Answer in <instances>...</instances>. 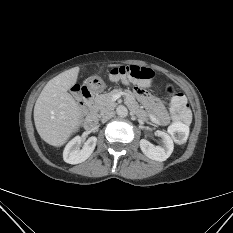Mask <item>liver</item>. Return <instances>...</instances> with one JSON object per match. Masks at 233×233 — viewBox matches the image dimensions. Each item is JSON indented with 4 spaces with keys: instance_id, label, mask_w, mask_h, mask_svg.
Returning <instances> with one entry per match:
<instances>
[{
    "instance_id": "liver-1",
    "label": "liver",
    "mask_w": 233,
    "mask_h": 233,
    "mask_svg": "<svg viewBox=\"0 0 233 233\" xmlns=\"http://www.w3.org/2000/svg\"><path fill=\"white\" fill-rule=\"evenodd\" d=\"M79 70V67H74L51 79L36 100L35 127L40 137L49 145H64L82 121V109L68 93L77 82Z\"/></svg>"
}]
</instances>
